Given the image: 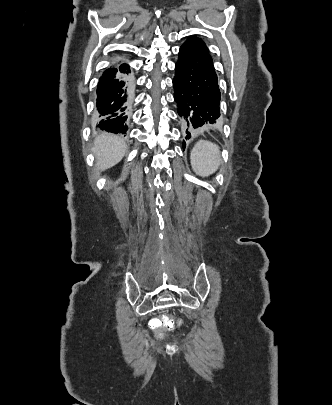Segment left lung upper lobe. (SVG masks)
<instances>
[{
	"instance_id": "1",
	"label": "left lung upper lobe",
	"mask_w": 332,
	"mask_h": 405,
	"mask_svg": "<svg viewBox=\"0 0 332 405\" xmlns=\"http://www.w3.org/2000/svg\"><path fill=\"white\" fill-rule=\"evenodd\" d=\"M184 44L190 45L192 47L198 48L200 50H202L206 55H208L210 57L208 48L206 47V44L199 38L195 37V36H191L187 39V41H185Z\"/></svg>"
}]
</instances>
